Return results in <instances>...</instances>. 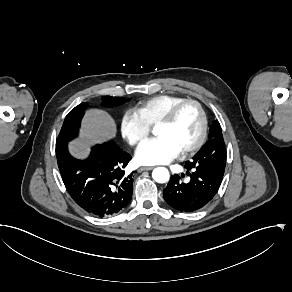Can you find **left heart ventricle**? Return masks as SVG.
Wrapping results in <instances>:
<instances>
[{
	"label": "left heart ventricle",
	"mask_w": 292,
	"mask_h": 292,
	"mask_svg": "<svg viewBox=\"0 0 292 292\" xmlns=\"http://www.w3.org/2000/svg\"><path fill=\"white\" fill-rule=\"evenodd\" d=\"M199 129L200 117L197 109L193 105H185L172 122L156 125L153 131L157 136H166L173 140L182 151L195 142Z\"/></svg>",
	"instance_id": "left-heart-ventricle-1"
}]
</instances>
